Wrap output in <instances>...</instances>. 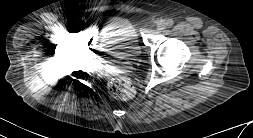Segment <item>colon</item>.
Returning a JSON list of instances; mask_svg holds the SVG:
<instances>
[{"instance_id":"1","label":"colon","mask_w":253,"mask_h":138,"mask_svg":"<svg viewBox=\"0 0 253 138\" xmlns=\"http://www.w3.org/2000/svg\"><path fill=\"white\" fill-rule=\"evenodd\" d=\"M110 93L122 100L130 99L134 95V87L126 78L113 79L109 84Z\"/></svg>"}]
</instances>
